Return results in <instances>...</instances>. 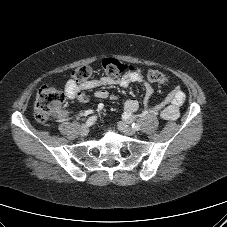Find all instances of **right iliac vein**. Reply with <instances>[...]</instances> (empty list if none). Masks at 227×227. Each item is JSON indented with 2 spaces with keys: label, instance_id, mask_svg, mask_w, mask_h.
I'll list each match as a JSON object with an SVG mask.
<instances>
[{
  "label": "right iliac vein",
  "instance_id": "right-iliac-vein-1",
  "mask_svg": "<svg viewBox=\"0 0 227 227\" xmlns=\"http://www.w3.org/2000/svg\"><path fill=\"white\" fill-rule=\"evenodd\" d=\"M89 132V126H87L86 124L83 125L80 129V135L81 136H86Z\"/></svg>",
  "mask_w": 227,
  "mask_h": 227
}]
</instances>
